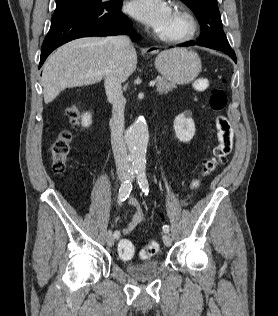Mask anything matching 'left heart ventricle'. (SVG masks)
I'll return each mask as SVG.
<instances>
[{
    "label": "left heart ventricle",
    "mask_w": 278,
    "mask_h": 316,
    "mask_svg": "<svg viewBox=\"0 0 278 316\" xmlns=\"http://www.w3.org/2000/svg\"><path fill=\"white\" fill-rule=\"evenodd\" d=\"M182 29V20L171 11L169 17L158 31L164 33H177L180 32Z\"/></svg>",
    "instance_id": "left-heart-ventricle-1"
}]
</instances>
